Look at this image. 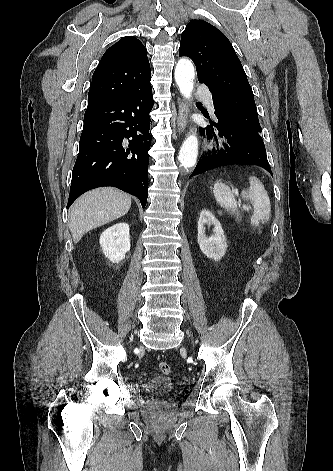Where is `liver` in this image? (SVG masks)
<instances>
[{
  "instance_id": "liver-1",
  "label": "liver",
  "mask_w": 333,
  "mask_h": 471,
  "mask_svg": "<svg viewBox=\"0 0 333 471\" xmlns=\"http://www.w3.org/2000/svg\"><path fill=\"white\" fill-rule=\"evenodd\" d=\"M131 207V196L116 188L91 190L74 203L69 228L74 243L88 231L124 216Z\"/></svg>"
}]
</instances>
